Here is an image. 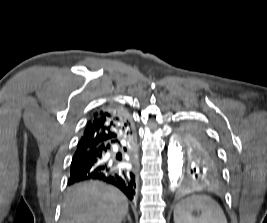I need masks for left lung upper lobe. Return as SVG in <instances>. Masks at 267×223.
<instances>
[{"instance_id": "5c2ea615", "label": "left lung upper lobe", "mask_w": 267, "mask_h": 223, "mask_svg": "<svg viewBox=\"0 0 267 223\" xmlns=\"http://www.w3.org/2000/svg\"><path fill=\"white\" fill-rule=\"evenodd\" d=\"M180 142L188 171H221L216 149L202 129L195 125L185 126Z\"/></svg>"}]
</instances>
